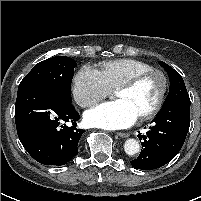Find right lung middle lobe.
I'll use <instances>...</instances> for the list:
<instances>
[{"label":"right lung middle lobe","instance_id":"obj_1","mask_svg":"<svg viewBox=\"0 0 201 201\" xmlns=\"http://www.w3.org/2000/svg\"><path fill=\"white\" fill-rule=\"evenodd\" d=\"M77 63L66 56H56L36 64L23 78L18 92L30 86H46L54 89L61 96L72 102L71 82Z\"/></svg>","mask_w":201,"mask_h":201}]
</instances>
